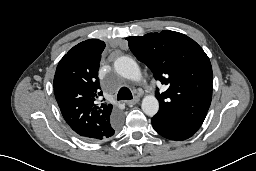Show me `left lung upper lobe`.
I'll list each match as a JSON object with an SVG mask.
<instances>
[{"mask_svg": "<svg viewBox=\"0 0 256 171\" xmlns=\"http://www.w3.org/2000/svg\"><path fill=\"white\" fill-rule=\"evenodd\" d=\"M130 50L167 90L156 98L157 114L174 116L191 132L202 125L212 98L213 74L203 49L188 36L170 30L127 37Z\"/></svg>", "mask_w": 256, "mask_h": 171, "instance_id": "left-lung-upper-lobe-1", "label": "left lung upper lobe"}]
</instances>
